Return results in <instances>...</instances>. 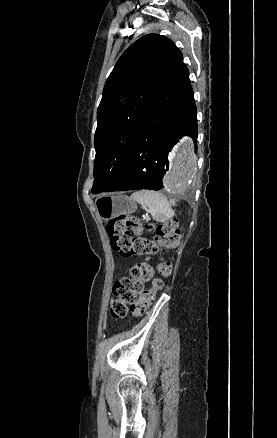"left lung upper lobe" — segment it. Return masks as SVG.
<instances>
[{"label": "left lung upper lobe", "instance_id": "5c2ea615", "mask_svg": "<svg viewBox=\"0 0 277 438\" xmlns=\"http://www.w3.org/2000/svg\"><path fill=\"white\" fill-rule=\"evenodd\" d=\"M150 98L196 114L182 54L170 39L157 34L143 36L127 48L106 81L97 110L92 193L103 192L120 176Z\"/></svg>", "mask_w": 277, "mask_h": 438}]
</instances>
